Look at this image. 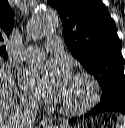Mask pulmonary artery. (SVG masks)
I'll return each instance as SVG.
<instances>
[{
	"label": "pulmonary artery",
	"instance_id": "pulmonary-artery-1",
	"mask_svg": "<svg viewBox=\"0 0 125 128\" xmlns=\"http://www.w3.org/2000/svg\"><path fill=\"white\" fill-rule=\"evenodd\" d=\"M61 51V42L58 36L47 38L45 47L32 46L26 48L20 55L23 61H38L43 59L46 53L57 54Z\"/></svg>",
	"mask_w": 125,
	"mask_h": 128
}]
</instances>
